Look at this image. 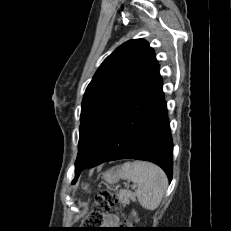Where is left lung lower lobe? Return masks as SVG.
<instances>
[{
    "label": "left lung lower lobe",
    "instance_id": "1",
    "mask_svg": "<svg viewBox=\"0 0 231 231\" xmlns=\"http://www.w3.org/2000/svg\"><path fill=\"white\" fill-rule=\"evenodd\" d=\"M172 137L162 92L159 65L114 116L100 136L82 170L118 159L146 160L159 165L172 176Z\"/></svg>",
    "mask_w": 231,
    "mask_h": 231
}]
</instances>
